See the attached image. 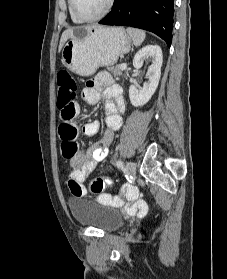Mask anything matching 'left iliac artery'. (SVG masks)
I'll return each instance as SVG.
<instances>
[{
    "mask_svg": "<svg viewBox=\"0 0 227 279\" xmlns=\"http://www.w3.org/2000/svg\"><path fill=\"white\" fill-rule=\"evenodd\" d=\"M116 165L118 168H123V162L121 160H117Z\"/></svg>",
    "mask_w": 227,
    "mask_h": 279,
    "instance_id": "44dca946",
    "label": "left iliac artery"
}]
</instances>
